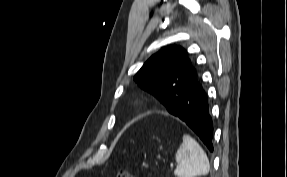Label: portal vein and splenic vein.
<instances>
[{
  "instance_id": "18ae733b",
  "label": "portal vein and splenic vein",
  "mask_w": 287,
  "mask_h": 177,
  "mask_svg": "<svg viewBox=\"0 0 287 177\" xmlns=\"http://www.w3.org/2000/svg\"><path fill=\"white\" fill-rule=\"evenodd\" d=\"M170 167H171V169L174 168V164H171Z\"/></svg>"
}]
</instances>
